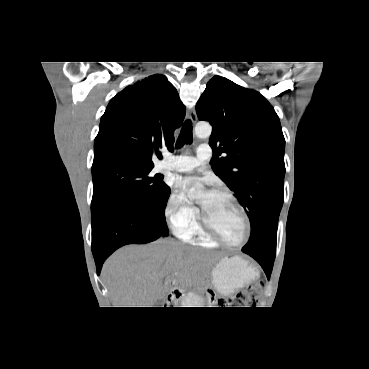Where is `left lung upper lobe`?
<instances>
[{
  "label": "left lung upper lobe",
  "mask_w": 369,
  "mask_h": 369,
  "mask_svg": "<svg viewBox=\"0 0 369 369\" xmlns=\"http://www.w3.org/2000/svg\"><path fill=\"white\" fill-rule=\"evenodd\" d=\"M196 111L213 127L209 144L216 155L210 164L250 219L251 236L242 250L275 257L285 139L274 108L259 92L214 76Z\"/></svg>",
  "instance_id": "left-lung-upper-lobe-1"
}]
</instances>
